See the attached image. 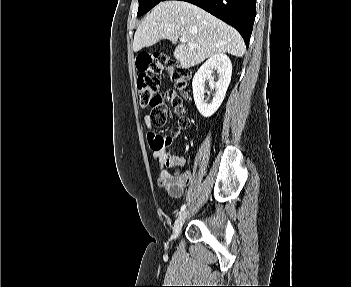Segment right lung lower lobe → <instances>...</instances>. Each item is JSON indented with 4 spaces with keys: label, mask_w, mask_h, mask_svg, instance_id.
Segmentation results:
<instances>
[{
    "label": "right lung lower lobe",
    "mask_w": 351,
    "mask_h": 287,
    "mask_svg": "<svg viewBox=\"0 0 351 287\" xmlns=\"http://www.w3.org/2000/svg\"><path fill=\"white\" fill-rule=\"evenodd\" d=\"M201 7L232 25L242 35L246 46L256 15V0H183Z\"/></svg>",
    "instance_id": "98d812e1"
}]
</instances>
